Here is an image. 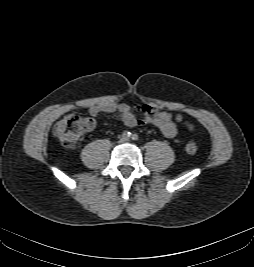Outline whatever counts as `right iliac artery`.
Returning <instances> with one entry per match:
<instances>
[{
    "instance_id": "1",
    "label": "right iliac artery",
    "mask_w": 254,
    "mask_h": 267,
    "mask_svg": "<svg viewBox=\"0 0 254 267\" xmlns=\"http://www.w3.org/2000/svg\"><path fill=\"white\" fill-rule=\"evenodd\" d=\"M123 137L126 138V139H127V138H130V137H131V132H129V131H124V132H123Z\"/></svg>"
}]
</instances>
